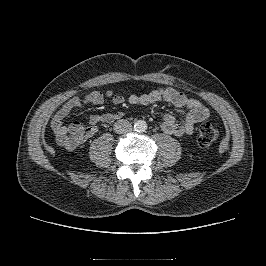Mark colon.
Here are the masks:
<instances>
[{
    "label": "colon",
    "instance_id": "5ec220e1",
    "mask_svg": "<svg viewBox=\"0 0 266 266\" xmlns=\"http://www.w3.org/2000/svg\"><path fill=\"white\" fill-rule=\"evenodd\" d=\"M217 136L218 132L211 123H203L198 129L196 143L199 147H208L216 140Z\"/></svg>",
    "mask_w": 266,
    "mask_h": 266
}]
</instances>
